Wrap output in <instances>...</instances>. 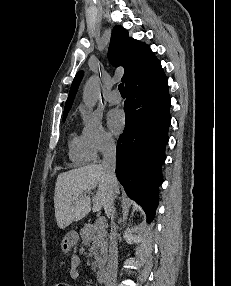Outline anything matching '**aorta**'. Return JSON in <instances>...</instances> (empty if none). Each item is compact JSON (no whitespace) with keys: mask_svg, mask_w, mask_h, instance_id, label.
I'll return each mask as SVG.
<instances>
[{"mask_svg":"<svg viewBox=\"0 0 231 286\" xmlns=\"http://www.w3.org/2000/svg\"><path fill=\"white\" fill-rule=\"evenodd\" d=\"M100 80L97 76L91 77L83 90V102L88 108H93L99 98Z\"/></svg>","mask_w":231,"mask_h":286,"instance_id":"1","label":"aorta"}]
</instances>
